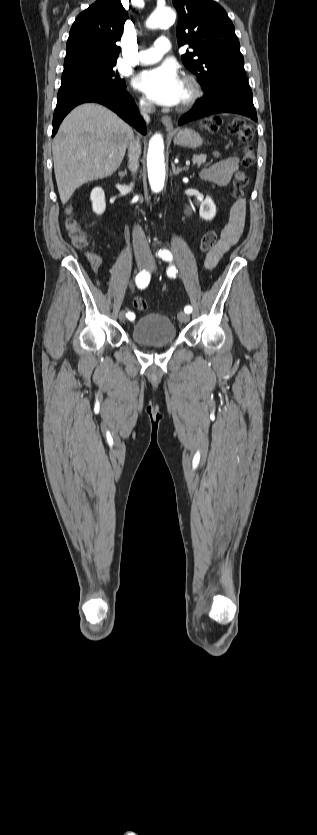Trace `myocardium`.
<instances>
[{"instance_id": "f54148a6", "label": "myocardium", "mask_w": 317, "mask_h": 835, "mask_svg": "<svg viewBox=\"0 0 317 835\" xmlns=\"http://www.w3.org/2000/svg\"><path fill=\"white\" fill-rule=\"evenodd\" d=\"M183 84L186 88V96L181 102H179L178 109L181 111L190 109L202 95L201 86L196 78L186 76L183 80Z\"/></svg>"}]
</instances>
